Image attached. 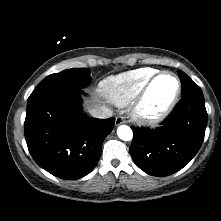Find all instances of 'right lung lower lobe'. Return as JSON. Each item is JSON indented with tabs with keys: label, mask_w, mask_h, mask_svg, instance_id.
I'll return each instance as SVG.
<instances>
[{
	"label": "right lung lower lobe",
	"mask_w": 221,
	"mask_h": 221,
	"mask_svg": "<svg viewBox=\"0 0 221 221\" xmlns=\"http://www.w3.org/2000/svg\"><path fill=\"white\" fill-rule=\"evenodd\" d=\"M81 88L55 90L27 102L24 122L28 150L54 176L79 179L96 166L115 118L88 117L81 109Z\"/></svg>",
	"instance_id": "1"
}]
</instances>
